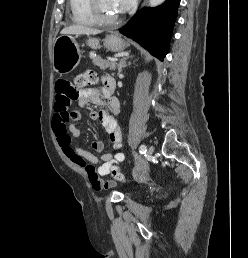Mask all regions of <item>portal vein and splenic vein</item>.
Returning a JSON list of instances; mask_svg holds the SVG:
<instances>
[{
    "mask_svg": "<svg viewBox=\"0 0 248 258\" xmlns=\"http://www.w3.org/2000/svg\"><path fill=\"white\" fill-rule=\"evenodd\" d=\"M109 60H110L111 62H116V61H118V58H116V57H114V58H109Z\"/></svg>",
    "mask_w": 248,
    "mask_h": 258,
    "instance_id": "portal-vein-and-splenic-vein-1",
    "label": "portal vein and splenic vein"
}]
</instances>
